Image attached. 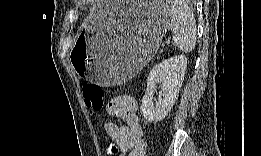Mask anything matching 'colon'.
<instances>
[{
	"mask_svg": "<svg viewBox=\"0 0 261 156\" xmlns=\"http://www.w3.org/2000/svg\"><path fill=\"white\" fill-rule=\"evenodd\" d=\"M83 96L87 107L92 112L102 110L104 106V96L102 88L94 83H88L83 87ZM107 153L113 156L117 153V148L114 144L107 147Z\"/></svg>",
	"mask_w": 261,
	"mask_h": 156,
	"instance_id": "5ec220e1",
	"label": "colon"
}]
</instances>
